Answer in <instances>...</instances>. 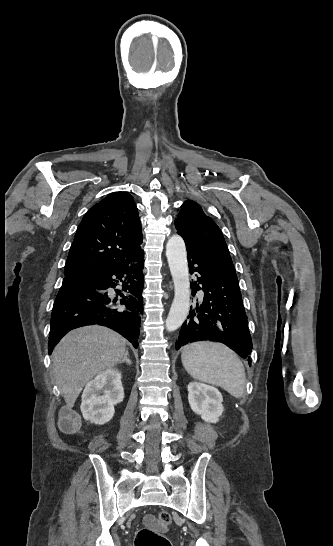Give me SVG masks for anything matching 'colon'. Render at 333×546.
I'll return each mask as SVG.
<instances>
[{"label":"colon","mask_w":333,"mask_h":546,"mask_svg":"<svg viewBox=\"0 0 333 546\" xmlns=\"http://www.w3.org/2000/svg\"><path fill=\"white\" fill-rule=\"evenodd\" d=\"M158 522L167 526L172 517L169 512L161 511L157 515ZM135 546H171L170 541L159 531L151 528H141L136 535Z\"/></svg>","instance_id":"obj_1"}]
</instances>
